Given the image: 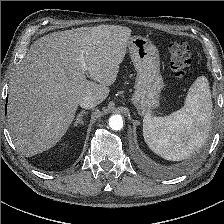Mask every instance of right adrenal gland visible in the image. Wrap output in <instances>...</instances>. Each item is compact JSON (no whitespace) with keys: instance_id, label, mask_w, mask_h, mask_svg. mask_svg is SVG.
Listing matches in <instances>:
<instances>
[{"instance_id":"1","label":"right adrenal gland","mask_w":224,"mask_h":224,"mask_svg":"<svg viewBox=\"0 0 224 224\" xmlns=\"http://www.w3.org/2000/svg\"><path fill=\"white\" fill-rule=\"evenodd\" d=\"M87 114V112L85 111H81L78 115H77V118H76V121L74 122V126H77L78 124H81L83 125L84 122L82 120V117Z\"/></svg>"}]
</instances>
